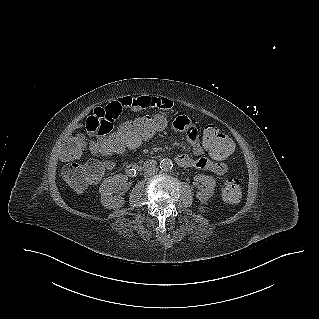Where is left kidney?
Returning <instances> with one entry per match:
<instances>
[{
    "mask_svg": "<svg viewBox=\"0 0 319 319\" xmlns=\"http://www.w3.org/2000/svg\"><path fill=\"white\" fill-rule=\"evenodd\" d=\"M194 181L203 185L204 188H202L201 191L197 192L196 197L202 203H205L210 197L213 196L216 181L213 177L202 174L196 175L194 177Z\"/></svg>",
    "mask_w": 319,
    "mask_h": 319,
    "instance_id": "5707ae66",
    "label": "left kidney"
}]
</instances>
